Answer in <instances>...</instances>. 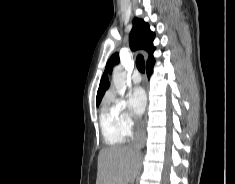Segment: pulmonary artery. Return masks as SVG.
Instances as JSON below:
<instances>
[{
    "mask_svg": "<svg viewBox=\"0 0 235 184\" xmlns=\"http://www.w3.org/2000/svg\"><path fill=\"white\" fill-rule=\"evenodd\" d=\"M131 81L134 83V84H139L141 83L142 81V76L141 74L138 72V71H134L131 75Z\"/></svg>",
    "mask_w": 235,
    "mask_h": 184,
    "instance_id": "pulmonary-artery-1",
    "label": "pulmonary artery"
}]
</instances>
